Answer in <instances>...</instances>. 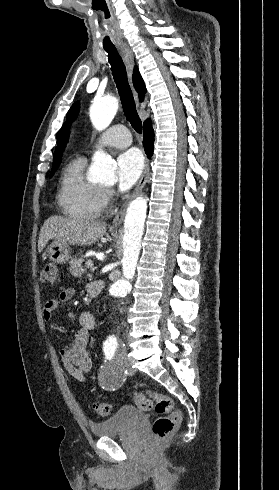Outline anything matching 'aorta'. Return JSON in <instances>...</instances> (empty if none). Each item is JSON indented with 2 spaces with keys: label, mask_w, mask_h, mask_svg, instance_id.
I'll use <instances>...</instances> for the list:
<instances>
[{
  "label": "aorta",
  "mask_w": 279,
  "mask_h": 490,
  "mask_svg": "<svg viewBox=\"0 0 279 490\" xmlns=\"http://www.w3.org/2000/svg\"><path fill=\"white\" fill-rule=\"evenodd\" d=\"M118 109V100L104 97L95 101L90 107V119L95 129L102 131L112 122ZM116 163L110 155L103 151L95 152L90 167L93 180L112 183L115 180ZM147 211V198L137 197L129 205L124 220L123 258L121 260L123 278L115 281L109 288L114 297L126 296L132 289L131 280L135 274L141 249L144 223ZM114 334H109L105 343H116Z\"/></svg>",
  "instance_id": "1"
}]
</instances>
